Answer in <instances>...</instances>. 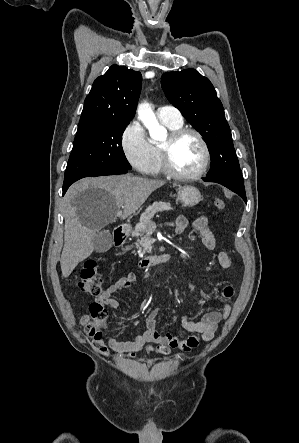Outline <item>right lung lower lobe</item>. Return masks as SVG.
<instances>
[{
    "instance_id": "right-lung-lower-lobe-1",
    "label": "right lung lower lobe",
    "mask_w": 299,
    "mask_h": 443,
    "mask_svg": "<svg viewBox=\"0 0 299 443\" xmlns=\"http://www.w3.org/2000/svg\"><path fill=\"white\" fill-rule=\"evenodd\" d=\"M127 171H128L127 169H110V170L100 172L94 176L125 174V173H127ZM69 186H70L69 184L63 185V195L65 194V192L67 191Z\"/></svg>"
}]
</instances>
